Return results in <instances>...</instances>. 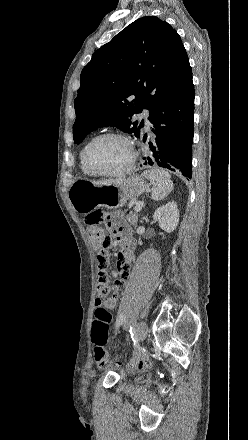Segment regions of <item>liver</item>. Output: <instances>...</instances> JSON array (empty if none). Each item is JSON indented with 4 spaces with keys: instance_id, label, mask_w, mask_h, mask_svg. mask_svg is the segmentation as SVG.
Returning <instances> with one entry per match:
<instances>
[{
    "instance_id": "1",
    "label": "liver",
    "mask_w": 248,
    "mask_h": 440,
    "mask_svg": "<svg viewBox=\"0 0 248 440\" xmlns=\"http://www.w3.org/2000/svg\"><path fill=\"white\" fill-rule=\"evenodd\" d=\"M123 180L121 179H116V180H109V181H104V182H100V183H96V184H111V183H118L121 182Z\"/></svg>"
}]
</instances>
